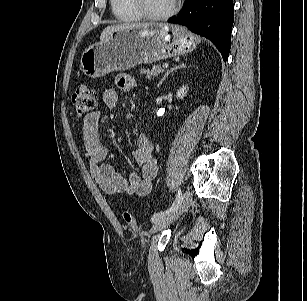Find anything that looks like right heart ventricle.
I'll use <instances>...</instances> for the list:
<instances>
[{"instance_id": "right-heart-ventricle-1", "label": "right heart ventricle", "mask_w": 307, "mask_h": 301, "mask_svg": "<svg viewBox=\"0 0 307 301\" xmlns=\"http://www.w3.org/2000/svg\"><path fill=\"white\" fill-rule=\"evenodd\" d=\"M110 4L113 14L121 22H135L142 18L130 0H110Z\"/></svg>"}]
</instances>
